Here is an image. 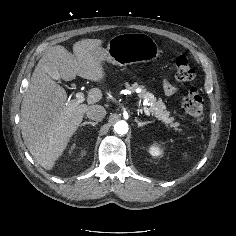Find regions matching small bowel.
<instances>
[{"label": "small bowel", "instance_id": "c3829d8e", "mask_svg": "<svg viewBox=\"0 0 236 236\" xmlns=\"http://www.w3.org/2000/svg\"><path fill=\"white\" fill-rule=\"evenodd\" d=\"M163 88H164L165 93L169 96L174 95L177 92L176 86H174L173 84L167 81L163 82Z\"/></svg>", "mask_w": 236, "mask_h": 236}]
</instances>
